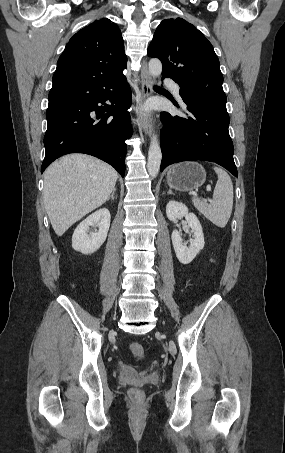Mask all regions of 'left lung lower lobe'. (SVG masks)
Wrapping results in <instances>:
<instances>
[{"label":"left lung lower lobe","instance_id":"obj_1","mask_svg":"<svg viewBox=\"0 0 285 453\" xmlns=\"http://www.w3.org/2000/svg\"><path fill=\"white\" fill-rule=\"evenodd\" d=\"M180 95L186 105L185 118L161 113L165 127L161 132L160 171L173 163L203 160L215 162L237 177L226 104L183 95L181 90Z\"/></svg>","mask_w":285,"mask_h":453}]
</instances>
